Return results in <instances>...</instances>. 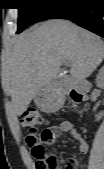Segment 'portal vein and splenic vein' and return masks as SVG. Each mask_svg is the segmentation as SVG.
I'll use <instances>...</instances> for the list:
<instances>
[{"instance_id": "1", "label": "portal vein and splenic vein", "mask_w": 104, "mask_h": 169, "mask_svg": "<svg viewBox=\"0 0 104 169\" xmlns=\"http://www.w3.org/2000/svg\"><path fill=\"white\" fill-rule=\"evenodd\" d=\"M64 64H65V65H68V62L65 61Z\"/></svg>"}]
</instances>
